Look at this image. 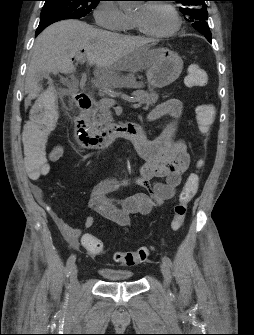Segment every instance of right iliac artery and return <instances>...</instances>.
Listing matches in <instances>:
<instances>
[{
    "label": "right iliac artery",
    "instance_id": "obj_1",
    "mask_svg": "<svg viewBox=\"0 0 254 335\" xmlns=\"http://www.w3.org/2000/svg\"><path fill=\"white\" fill-rule=\"evenodd\" d=\"M75 260H76V255L72 254L68 260H67V271H68V275L70 273V270L73 268L74 264H75ZM67 275V276H68ZM69 288V287H68Z\"/></svg>",
    "mask_w": 254,
    "mask_h": 335
}]
</instances>
